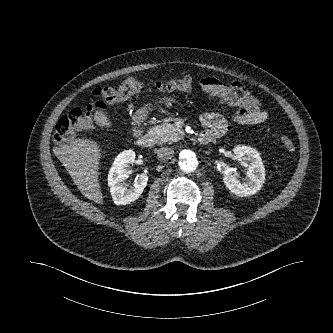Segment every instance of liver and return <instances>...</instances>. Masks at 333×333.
Wrapping results in <instances>:
<instances>
[{"instance_id": "6515ba94", "label": "liver", "mask_w": 333, "mask_h": 333, "mask_svg": "<svg viewBox=\"0 0 333 333\" xmlns=\"http://www.w3.org/2000/svg\"><path fill=\"white\" fill-rule=\"evenodd\" d=\"M59 160L81 193L98 204L103 196L98 180L100 149L91 139H76L57 149Z\"/></svg>"}]
</instances>
